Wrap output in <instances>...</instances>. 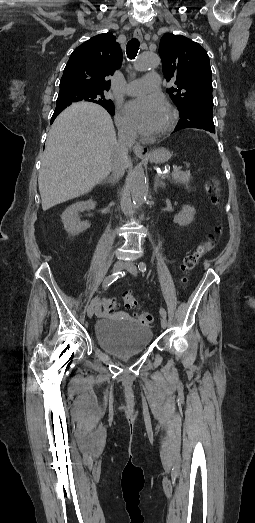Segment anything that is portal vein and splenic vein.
Instances as JSON below:
<instances>
[{
  "label": "portal vein and splenic vein",
  "mask_w": 255,
  "mask_h": 523,
  "mask_svg": "<svg viewBox=\"0 0 255 523\" xmlns=\"http://www.w3.org/2000/svg\"><path fill=\"white\" fill-rule=\"evenodd\" d=\"M169 172H172V169H169ZM173 172H174L175 174H178V173H184V168H178V167H175V168L173 169Z\"/></svg>",
  "instance_id": "obj_1"
}]
</instances>
